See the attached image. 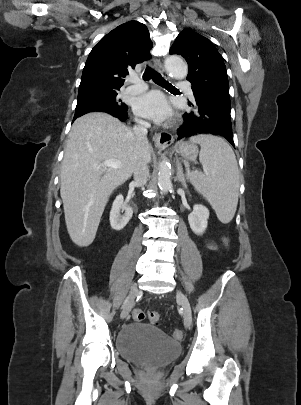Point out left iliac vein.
Masks as SVG:
<instances>
[{"label": "left iliac vein", "instance_id": "4c4485c4", "mask_svg": "<svg viewBox=\"0 0 301 405\" xmlns=\"http://www.w3.org/2000/svg\"><path fill=\"white\" fill-rule=\"evenodd\" d=\"M177 300L183 308L184 325L185 327H190L192 323V312L190 303L187 297L181 291H177Z\"/></svg>", "mask_w": 301, "mask_h": 405}]
</instances>
